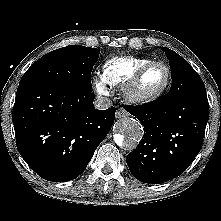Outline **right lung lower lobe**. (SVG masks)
<instances>
[{"label":"right lung lower lobe","mask_w":221,"mask_h":221,"mask_svg":"<svg viewBox=\"0 0 221 221\" xmlns=\"http://www.w3.org/2000/svg\"><path fill=\"white\" fill-rule=\"evenodd\" d=\"M89 91L27 83L17 89L16 145L43 179H75L87 167L114 123L115 108L97 110Z\"/></svg>","instance_id":"right-lung-lower-lobe-1"}]
</instances>
